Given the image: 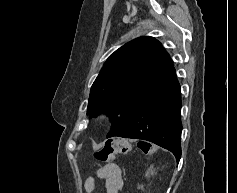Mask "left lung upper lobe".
<instances>
[{
	"label": "left lung upper lobe",
	"mask_w": 237,
	"mask_h": 193,
	"mask_svg": "<svg viewBox=\"0 0 237 193\" xmlns=\"http://www.w3.org/2000/svg\"><path fill=\"white\" fill-rule=\"evenodd\" d=\"M171 64L169 54L153 37L126 43L107 59L94 81L87 115L106 113L112 121L107 138L118 136L145 92Z\"/></svg>",
	"instance_id": "1"
}]
</instances>
